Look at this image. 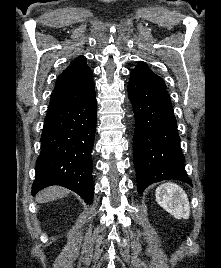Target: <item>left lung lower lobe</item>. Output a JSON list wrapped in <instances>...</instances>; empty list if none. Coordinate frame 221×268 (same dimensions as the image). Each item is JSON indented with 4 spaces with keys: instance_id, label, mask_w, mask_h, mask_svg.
<instances>
[{
    "instance_id": "left-lung-lower-lobe-1",
    "label": "left lung lower lobe",
    "mask_w": 221,
    "mask_h": 268,
    "mask_svg": "<svg viewBox=\"0 0 221 268\" xmlns=\"http://www.w3.org/2000/svg\"><path fill=\"white\" fill-rule=\"evenodd\" d=\"M128 98L136 122L133 150L138 192L167 179L192 185L185 172L177 122L166 87L130 77Z\"/></svg>"
}]
</instances>
